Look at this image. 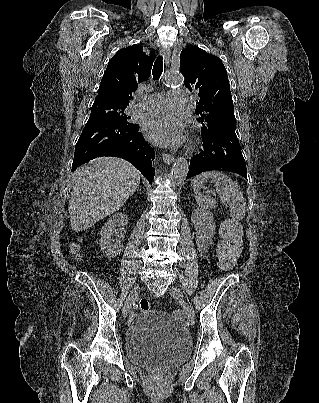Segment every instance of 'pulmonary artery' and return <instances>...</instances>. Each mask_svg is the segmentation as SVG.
Instances as JSON below:
<instances>
[{
    "label": "pulmonary artery",
    "instance_id": "1",
    "mask_svg": "<svg viewBox=\"0 0 319 403\" xmlns=\"http://www.w3.org/2000/svg\"><path fill=\"white\" fill-rule=\"evenodd\" d=\"M186 104L187 92L182 89H175L167 93L146 95L135 105V109L139 111H163L168 107H183Z\"/></svg>",
    "mask_w": 319,
    "mask_h": 403
}]
</instances>
